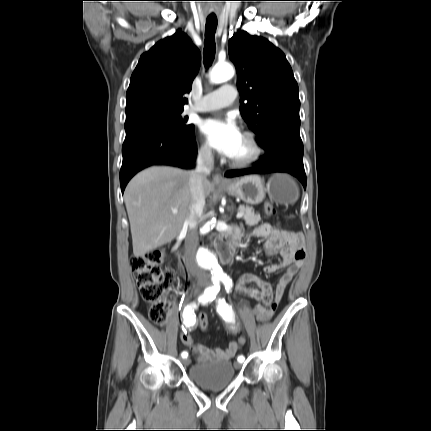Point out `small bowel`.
<instances>
[{
    "label": "small bowel",
    "instance_id": "1",
    "mask_svg": "<svg viewBox=\"0 0 431 431\" xmlns=\"http://www.w3.org/2000/svg\"><path fill=\"white\" fill-rule=\"evenodd\" d=\"M252 235L267 239L265 252L268 255L280 254L282 257L279 263L266 266L264 268L265 272L272 274L281 269H286L275 288L251 273L243 274L237 282V293L258 301L259 303L254 307V310H258L259 313L257 318L259 321H266L275 313L285 289L301 267L305 258V250L300 234L279 230L268 223L257 226L252 231ZM240 348L241 346L237 341L231 342L227 348H209L195 343L191 352L199 363L228 361Z\"/></svg>",
    "mask_w": 431,
    "mask_h": 431
}]
</instances>
